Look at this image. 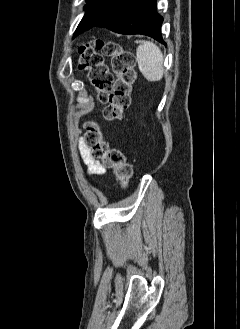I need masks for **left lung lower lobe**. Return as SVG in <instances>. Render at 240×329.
<instances>
[{
    "instance_id": "1",
    "label": "left lung lower lobe",
    "mask_w": 240,
    "mask_h": 329,
    "mask_svg": "<svg viewBox=\"0 0 240 329\" xmlns=\"http://www.w3.org/2000/svg\"><path fill=\"white\" fill-rule=\"evenodd\" d=\"M163 17L156 12V0H121L96 25L120 34H143L165 44L161 36Z\"/></svg>"
}]
</instances>
